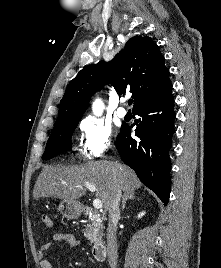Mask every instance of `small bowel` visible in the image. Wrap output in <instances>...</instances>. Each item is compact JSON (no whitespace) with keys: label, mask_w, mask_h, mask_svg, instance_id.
I'll use <instances>...</instances> for the list:
<instances>
[{"label":"small bowel","mask_w":221,"mask_h":268,"mask_svg":"<svg viewBox=\"0 0 221 268\" xmlns=\"http://www.w3.org/2000/svg\"><path fill=\"white\" fill-rule=\"evenodd\" d=\"M60 243L67 244L70 247H78L80 244L76 237L71 233L57 232L53 234L51 240L41 245V247L37 250L40 268H52L50 261L45 258V255L55 244Z\"/></svg>","instance_id":"obj_1"}]
</instances>
